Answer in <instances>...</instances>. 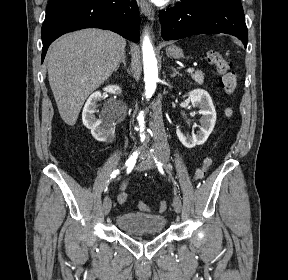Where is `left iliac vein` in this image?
Listing matches in <instances>:
<instances>
[{
  "label": "left iliac vein",
  "instance_id": "left-iliac-vein-1",
  "mask_svg": "<svg viewBox=\"0 0 288 280\" xmlns=\"http://www.w3.org/2000/svg\"><path fill=\"white\" fill-rule=\"evenodd\" d=\"M154 166H155V164H154L152 158L149 155H146L145 161L142 162V167L145 169H152V168H154ZM173 207H174V210L176 211V213L181 212L182 202H181L180 198H177L176 196L174 197Z\"/></svg>",
  "mask_w": 288,
  "mask_h": 280
}]
</instances>
